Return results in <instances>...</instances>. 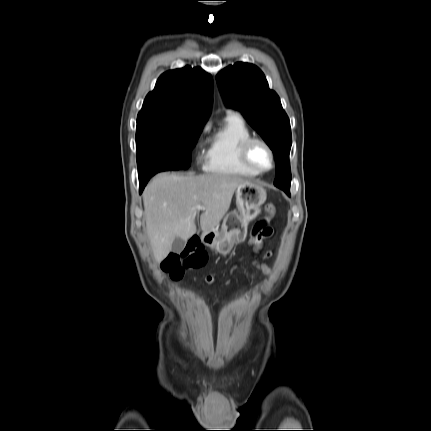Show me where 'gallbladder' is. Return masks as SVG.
<instances>
[{
	"mask_svg": "<svg viewBox=\"0 0 431 431\" xmlns=\"http://www.w3.org/2000/svg\"><path fill=\"white\" fill-rule=\"evenodd\" d=\"M186 245V240L176 237L172 243V252L179 254L183 251Z\"/></svg>",
	"mask_w": 431,
	"mask_h": 431,
	"instance_id": "gallbladder-1",
	"label": "gallbladder"
}]
</instances>
